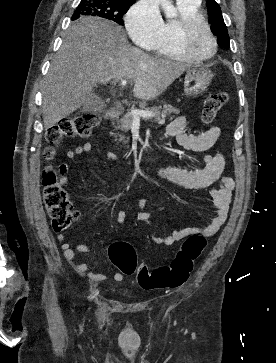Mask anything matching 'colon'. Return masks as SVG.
<instances>
[{
  "instance_id": "5ec220e1",
  "label": "colon",
  "mask_w": 276,
  "mask_h": 363,
  "mask_svg": "<svg viewBox=\"0 0 276 363\" xmlns=\"http://www.w3.org/2000/svg\"><path fill=\"white\" fill-rule=\"evenodd\" d=\"M226 92L210 93L204 100L202 119L209 124L214 121L218 111L227 102ZM96 113H84L74 118L60 121L46 130L45 138L50 146L45 150V156H54V145L66 137L87 138L99 123ZM59 172L48 165L42 173L44 203L51 220L54 232L65 231L78 217V212L71 207L68 194L58 181ZM206 240L202 235L188 237L177 251L169 265L149 269L146 265L137 263L134 247L127 242H115L108 248L110 261L126 275L135 274L137 284L146 290L171 289L184 284L190 277L194 261L205 248Z\"/></svg>"
}]
</instances>
